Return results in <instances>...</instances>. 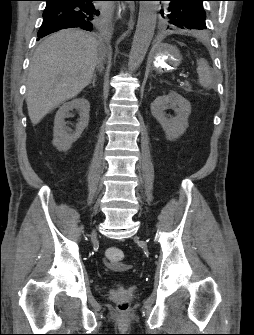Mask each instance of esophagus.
<instances>
[{
	"mask_svg": "<svg viewBox=\"0 0 254 335\" xmlns=\"http://www.w3.org/2000/svg\"><path fill=\"white\" fill-rule=\"evenodd\" d=\"M124 13H125V6L123 5L118 11V18L122 19V17L124 16Z\"/></svg>",
	"mask_w": 254,
	"mask_h": 335,
	"instance_id": "esophagus-1",
	"label": "esophagus"
}]
</instances>
